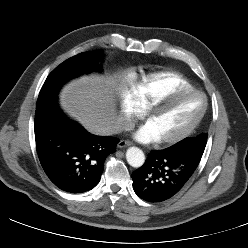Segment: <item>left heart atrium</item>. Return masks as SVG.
Listing matches in <instances>:
<instances>
[{
	"instance_id": "left-heart-atrium-1",
	"label": "left heart atrium",
	"mask_w": 248,
	"mask_h": 248,
	"mask_svg": "<svg viewBox=\"0 0 248 248\" xmlns=\"http://www.w3.org/2000/svg\"><path fill=\"white\" fill-rule=\"evenodd\" d=\"M135 137L137 140L146 143L155 142L159 140L158 136L155 134V132L148 124H145L142 127H140L135 133Z\"/></svg>"
}]
</instances>
